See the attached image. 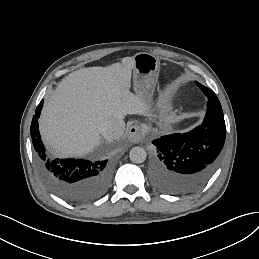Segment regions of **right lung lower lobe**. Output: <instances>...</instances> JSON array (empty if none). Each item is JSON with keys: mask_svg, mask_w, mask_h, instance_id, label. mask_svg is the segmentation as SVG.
I'll list each match as a JSON object with an SVG mask.
<instances>
[{"mask_svg": "<svg viewBox=\"0 0 259 259\" xmlns=\"http://www.w3.org/2000/svg\"><path fill=\"white\" fill-rule=\"evenodd\" d=\"M43 102L41 100L37 106L31 123V138L42 179L54 192L72 203H84L102 196L108 190L111 178L108 159L96 162L74 158L52 160L46 154L38 129Z\"/></svg>", "mask_w": 259, "mask_h": 259, "instance_id": "obj_1", "label": "right lung lower lobe"}]
</instances>
